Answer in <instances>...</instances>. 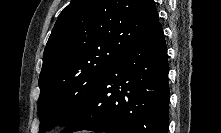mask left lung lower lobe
<instances>
[{
    "instance_id": "obj_1",
    "label": "left lung lower lobe",
    "mask_w": 221,
    "mask_h": 133,
    "mask_svg": "<svg viewBox=\"0 0 221 133\" xmlns=\"http://www.w3.org/2000/svg\"><path fill=\"white\" fill-rule=\"evenodd\" d=\"M168 72L157 22L108 67L88 102L61 132L167 133Z\"/></svg>"
}]
</instances>
